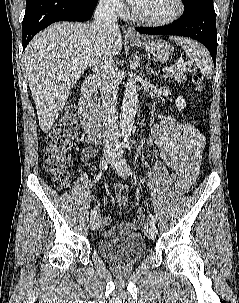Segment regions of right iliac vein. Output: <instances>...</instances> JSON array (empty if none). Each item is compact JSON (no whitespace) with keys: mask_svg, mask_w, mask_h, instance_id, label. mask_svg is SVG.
Here are the masks:
<instances>
[{"mask_svg":"<svg viewBox=\"0 0 239 303\" xmlns=\"http://www.w3.org/2000/svg\"><path fill=\"white\" fill-rule=\"evenodd\" d=\"M106 160L109 163H112L114 161V158L110 155H106ZM100 223H101V218L99 215L92 217V219L90 221L91 230H97L100 227Z\"/></svg>","mask_w":239,"mask_h":303,"instance_id":"right-iliac-vein-1","label":"right iliac vein"}]
</instances>
